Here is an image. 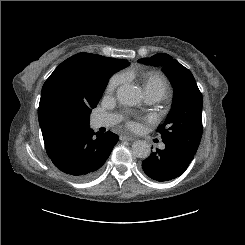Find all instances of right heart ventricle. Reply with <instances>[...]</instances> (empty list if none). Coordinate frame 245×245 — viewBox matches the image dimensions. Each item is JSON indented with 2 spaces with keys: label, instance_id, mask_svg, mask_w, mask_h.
<instances>
[{
  "label": "right heart ventricle",
  "instance_id": "obj_1",
  "mask_svg": "<svg viewBox=\"0 0 245 245\" xmlns=\"http://www.w3.org/2000/svg\"><path fill=\"white\" fill-rule=\"evenodd\" d=\"M143 85L145 95H151L158 100L169 93V84L164 75L157 71H151L144 75Z\"/></svg>",
  "mask_w": 245,
  "mask_h": 245
}]
</instances>
